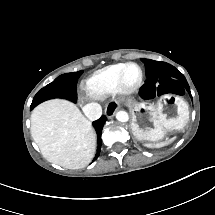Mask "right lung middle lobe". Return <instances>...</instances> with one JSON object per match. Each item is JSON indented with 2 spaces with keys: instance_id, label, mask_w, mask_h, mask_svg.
Wrapping results in <instances>:
<instances>
[{
  "instance_id": "obj_1",
  "label": "right lung middle lobe",
  "mask_w": 215,
  "mask_h": 215,
  "mask_svg": "<svg viewBox=\"0 0 215 215\" xmlns=\"http://www.w3.org/2000/svg\"><path fill=\"white\" fill-rule=\"evenodd\" d=\"M83 71L66 73L57 77L52 83L42 88L34 97L31 109L41 102L51 98H66L72 102L77 101L76 84Z\"/></svg>"
}]
</instances>
